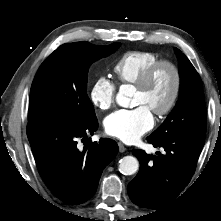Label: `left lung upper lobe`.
Listing matches in <instances>:
<instances>
[{
    "label": "left lung upper lobe",
    "mask_w": 221,
    "mask_h": 221,
    "mask_svg": "<svg viewBox=\"0 0 221 221\" xmlns=\"http://www.w3.org/2000/svg\"><path fill=\"white\" fill-rule=\"evenodd\" d=\"M174 49L179 62L180 97L173 111L149 137L184 135L205 139L207 112L200 76L188 58Z\"/></svg>",
    "instance_id": "1"
}]
</instances>
